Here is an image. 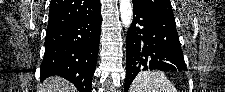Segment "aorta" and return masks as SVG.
Segmentation results:
<instances>
[{
  "mask_svg": "<svg viewBox=\"0 0 225 92\" xmlns=\"http://www.w3.org/2000/svg\"><path fill=\"white\" fill-rule=\"evenodd\" d=\"M120 14L123 25L127 28L132 22V3L130 0H120Z\"/></svg>",
  "mask_w": 225,
  "mask_h": 92,
  "instance_id": "aorta-1",
  "label": "aorta"
}]
</instances>
